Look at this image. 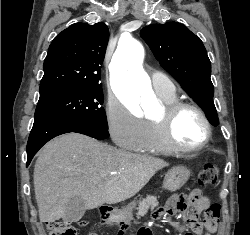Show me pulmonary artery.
Returning <instances> with one entry per match:
<instances>
[{
  "mask_svg": "<svg viewBox=\"0 0 250 235\" xmlns=\"http://www.w3.org/2000/svg\"><path fill=\"white\" fill-rule=\"evenodd\" d=\"M152 86L157 95L170 96L175 93L172 81L161 73H154L151 76Z\"/></svg>",
  "mask_w": 250,
  "mask_h": 235,
  "instance_id": "e3ab8cb5",
  "label": "pulmonary artery"
}]
</instances>
